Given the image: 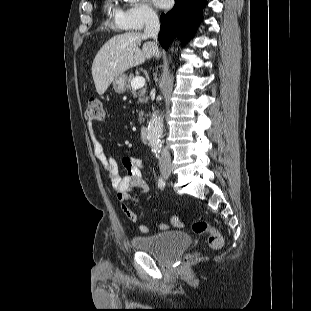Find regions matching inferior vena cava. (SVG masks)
<instances>
[{"label": "inferior vena cava", "mask_w": 311, "mask_h": 311, "mask_svg": "<svg viewBox=\"0 0 311 311\" xmlns=\"http://www.w3.org/2000/svg\"><path fill=\"white\" fill-rule=\"evenodd\" d=\"M160 30V23L158 16L150 12L147 14L145 19V29L144 35L149 38H153L156 41L157 46V36ZM159 165L160 166H170L171 158L168 149L161 147L160 148V157H159Z\"/></svg>", "instance_id": "602c4592"}]
</instances>
